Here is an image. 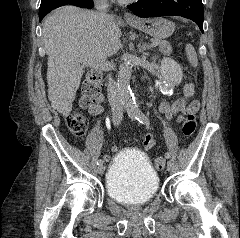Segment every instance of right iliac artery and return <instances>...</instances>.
Wrapping results in <instances>:
<instances>
[{
    "instance_id": "82829eb1",
    "label": "right iliac artery",
    "mask_w": 240,
    "mask_h": 238,
    "mask_svg": "<svg viewBox=\"0 0 240 238\" xmlns=\"http://www.w3.org/2000/svg\"><path fill=\"white\" fill-rule=\"evenodd\" d=\"M135 119H137V118H135ZM132 120H133V118H132ZM101 164H103V160L99 159V160L97 161V165H101Z\"/></svg>"
}]
</instances>
